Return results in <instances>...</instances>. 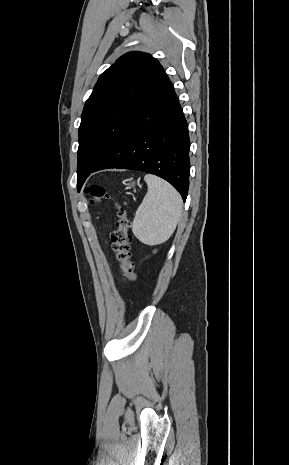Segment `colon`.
<instances>
[{
	"mask_svg": "<svg viewBox=\"0 0 289 465\" xmlns=\"http://www.w3.org/2000/svg\"><path fill=\"white\" fill-rule=\"evenodd\" d=\"M86 193L91 196L92 202L111 201V195L99 185H91L86 188ZM116 229L111 233L112 247L116 253V258L120 263L122 273L130 282H136V266L131 259V241L130 234L131 221L127 210L117 205Z\"/></svg>",
	"mask_w": 289,
	"mask_h": 465,
	"instance_id": "5ec220e1",
	"label": "colon"
}]
</instances>
